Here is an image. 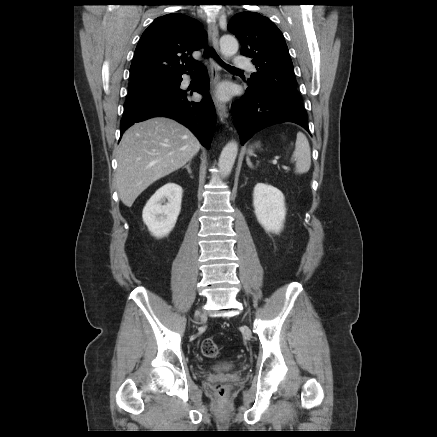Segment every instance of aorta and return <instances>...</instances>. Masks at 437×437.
<instances>
[{
	"instance_id": "aorta-1",
	"label": "aorta",
	"mask_w": 437,
	"mask_h": 437,
	"mask_svg": "<svg viewBox=\"0 0 437 437\" xmlns=\"http://www.w3.org/2000/svg\"><path fill=\"white\" fill-rule=\"evenodd\" d=\"M238 51V42L232 35H223L220 38V52L225 59L231 58ZM238 154V144L230 141L223 148L219 157V170L223 177L229 176Z\"/></svg>"
}]
</instances>
